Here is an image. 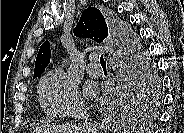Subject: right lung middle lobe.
<instances>
[{
	"mask_svg": "<svg viewBox=\"0 0 184 133\" xmlns=\"http://www.w3.org/2000/svg\"><path fill=\"white\" fill-rule=\"evenodd\" d=\"M121 23L132 47L127 64L126 102L130 108H144L149 104L152 90L156 85L155 69L146 56L141 54L143 51L138 47L136 37L129 26L125 22Z\"/></svg>",
	"mask_w": 184,
	"mask_h": 133,
	"instance_id": "right-lung-middle-lobe-1",
	"label": "right lung middle lobe"
}]
</instances>
